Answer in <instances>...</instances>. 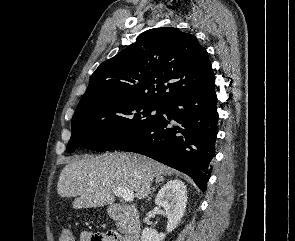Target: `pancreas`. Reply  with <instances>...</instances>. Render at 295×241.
Instances as JSON below:
<instances>
[{"label":"pancreas","mask_w":295,"mask_h":241,"mask_svg":"<svg viewBox=\"0 0 295 241\" xmlns=\"http://www.w3.org/2000/svg\"><path fill=\"white\" fill-rule=\"evenodd\" d=\"M117 227H118V230L119 231H123L124 230V224H123V222L117 223Z\"/></svg>","instance_id":"cf45deb5"}]
</instances>
